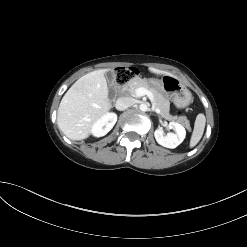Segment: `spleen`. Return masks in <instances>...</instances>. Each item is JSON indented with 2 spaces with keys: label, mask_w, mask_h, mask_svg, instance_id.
<instances>
[{
  "label": "spleen",
  "mask_w": 247,
  "mask_h": 247,
  "mask_svg": "<svg viewBox=\"0 0 247 247\" xmlns=\"http://www.w3.org/2000/svg\"><path fill=\"white\" fill-rule=\"evenodd\" d=\"M206 118L204 114L200 113L197 115L194 130L190 139V147H194L200 141L203 136L204 128H205Z\"/></svg>",
  "instance_id": "1"
}]
</instances>
